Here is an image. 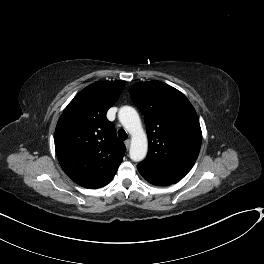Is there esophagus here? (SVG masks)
Wrapping results in <instances>:
<instances>
[{
    "label": "esophagus",
    "mask_w": 264,
    "mask_h": 264,
    "mask_svg": "<svg viewBox=\"0 0 264 264\" xmlns=\"http://www.w3.org/2000/svg\"><path fill=\"white\" fill-rule=\"evenodd\" d=\"M125 146H126L127 148L130 147V140H129V139H127V140L125 141Z\"/></svg>",
    "instance_id": "1"
}]
</instances>
